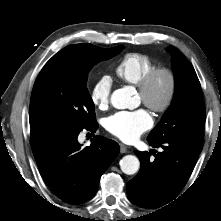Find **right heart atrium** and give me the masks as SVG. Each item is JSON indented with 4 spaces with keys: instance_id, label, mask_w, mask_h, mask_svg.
<instances>
[{
    "instance_id": "right-heart-atrium-1",
    "label": "right heart atrium",
    "mask_w": 221,
    "mask_h": 221,
    "mask_svg": "<svg viewBox=\"0 0 221 221\" xmlns=\"http://www.w3.org/2000/svg\"><path fill=\"white\" fill-rule=\"evenodd\" d=\"M112 93V80L109 76L99 77L90 91V100L100 110L108 107Z\"/></svg>"
}]
</instances>
